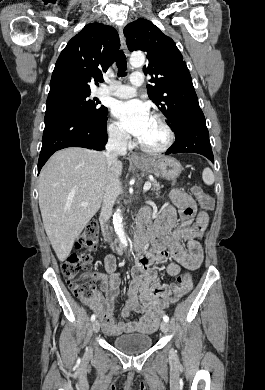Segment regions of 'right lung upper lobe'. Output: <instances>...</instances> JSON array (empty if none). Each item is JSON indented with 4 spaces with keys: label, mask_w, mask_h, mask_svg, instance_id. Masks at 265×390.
Segmentation results:
<instances>
[{
    "label": "right lung upper lobe",
    "mask_w": 265,
    "mask_h": 390,
    "mask_svg": "<svg viewBox=\"0 0 265 390\" xmlns=\"http://www.w3.org/2000/svg\"><path fill=\"white\" fill-rule=\"evenodd\" d=\"M119 48V35L113 27L86 25L60 53L47 100L90 93V83L103 81V72L114 62Z\"/></svg>",
    "instance_id": "cb5924a9"
}]
</instances>
